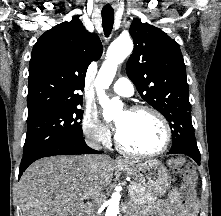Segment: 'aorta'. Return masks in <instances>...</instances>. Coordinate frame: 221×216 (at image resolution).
I'll return each instance as SVG.
<instances>
[{"mask_svg": "<svg viewBox=\"0 0 221 216\" xmlns=\"http://www.w3.org/2000/svg\"><path fill=\"white\" fill-rule=\"evenodd\" d=\"M133 50V42L128 36H120L115 39L107 50L106 60L103 62L95 80V87L99 103L103 108V117L106 121L112 120L123 108L119 100H109L104 90L107 89L116 74L117 67ZM121 195L113 193L107 201L108 207L105 216H117L119 214V202Z\"/></svg>", "mask_w": 221, "mask_h": 216, "instance_id": "aorta-1", "label": "aorta"}]
</instances>
